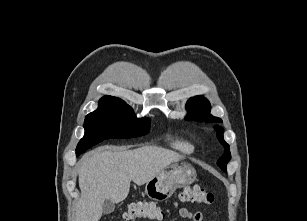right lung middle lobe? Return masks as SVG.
<instances>
[{"mask_svg":"<svg viewBox=\"0 0 307 221\" xmlns=\"http://www.w3.org/2000/svg\"><path fill=\"white\" fill-rule=\"evenodd\" d=\"M85 135L76 148V156L110 138H133L149 131V120L138 119L131 107L119 103H99L84 121Z\"/></svg>","mask_w":307,"mask_h":221,"instance_id":"obj_1","label":"right lung middle lobe"}]
</instances>
